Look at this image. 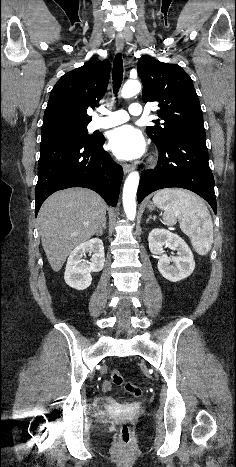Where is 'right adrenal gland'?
<instances>
[{
    "label": "right adrenal gland",
    "mask_w": 236,
    "mask_h": 467,
    "mask_svg": "<svg viewBox=\"0 0 236 467\" xmlns=\"http://www.w3.org/2000/svg\"><path fill=\"white\" fill-rule=\"evenodd\" d=\"M103 229H106V218L104 219V222L102 223V226L97 231L96 235L97 236L102 235L103 234Z\"/></svg>",
    "instance_id": "right-adrenal-gland-1"
}]
</instances>
